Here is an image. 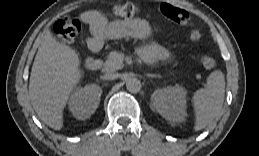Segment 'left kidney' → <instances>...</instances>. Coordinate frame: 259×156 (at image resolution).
Segmentation results:
<instances>
[{
  "label": "left kidney",
  "mask_w": 259,
  "mask_h": 156,
  "mask_svg": "<svg viewBox=\"0 0 259 156\" xmlns=\"http://www.w3.org/2000/svg\"><path fill=\"white\" fill-rule=\"evenodd\" d=\"M186 94V89L179 85L157 89L151 95V104L166 120L183 122L186 118Z\"/></svg>",
  "instance_id": "left-kidney-1"
}]
</instances>
